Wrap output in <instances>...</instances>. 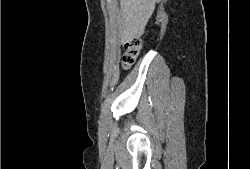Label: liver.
Instances as JSON below:
<instances>
[{"instance_id":"1","label":"liver","mask_w":250,"mask_h":169,"mask_svg":"<svg viewBox=\"0 0 250 169\" xmlns=\"http://www.w3.org/2000/svg\"><path fill=\"white\" fill-rule=\"evenodd\" d=\"M155 2L157 0H120L122 42L144 34L145 26L154 12Z\"/></svg>"}]
</instances>
